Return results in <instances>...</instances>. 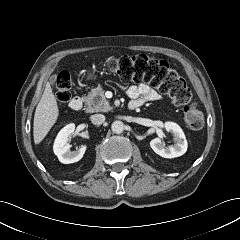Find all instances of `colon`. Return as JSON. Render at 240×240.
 I'll use <instances>...</instances> for the list:
<instances>
[{"label": "colon", "mask_w": 240, "mask_h": 240, "mask_svg": "<svg viewBox=\"0 0 240 240\" xmlns=\"http://www.w3.org/2000/svg\"><path fill=\"white\" fill-rule=\"evenodd\" d=\"M108 70L124 82H143L168 95L174 104L182 107L184 121L192 130L203 127L204 117L193 100L191 90L183 77L166 61L146 55L111 57L106 62ZM71 77L61 72L56 81V100L59 106L71 98Z\"/></svg>", "instance_id": "colon-1"}]
</instances>
